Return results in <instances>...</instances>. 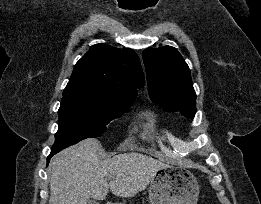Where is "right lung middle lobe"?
Wrapping results in <instances>:
<instances>
[{
    "instance_id": "dd1d6c3e",
    "label": "right lung middle lobe",
    "mask_w": 261,
    "mask_h": 204,
    "mask_svg": "<svg viewBox=\"0 0 261 204\" xmlns=\"http://www.w3.org/2000/svg\"><path fill=\"white\" fill-rule=\"evenodd\" d=\"M133 102L104 103L88 94L63 96L58 110L59 128L52 150H62L86 138L99 137L106 125Z\"/></svg>"
}]
</instances>
